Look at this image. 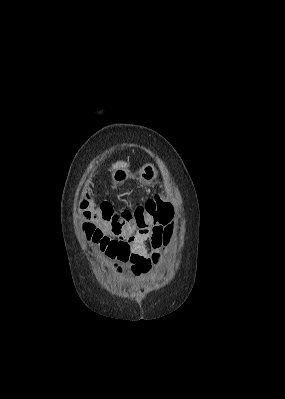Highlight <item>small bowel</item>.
I'll use <instances>...</instances> for the list:
<instances>
[{"label": "small bowel", "mask_w": 285, "mask_h": 399, "mask_svg": "<svg viewBox=\"0 0 285 399\" xmlns=\"http://www.w3.org/2000/svg\"><path fill=\"white\" fill-rule=\"evenodd\" d=\"M126 218L130 220L125 221L119 229L115 232L118 237L126 239L133 246V255H137L144 259H151L156 254L165 237V229L163 227L151 228L149 223H153L154 216L147 215L143 225H137L138 211L124 212ZM148 241L150 248L143 247V242Z\"/></svg>", "instance_id": "obj_1"}]
</instances>
